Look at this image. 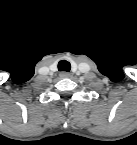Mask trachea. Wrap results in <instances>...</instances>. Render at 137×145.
<instances>
[{"label": "trachea", "instance_id": "1", "mask_svg": "<svg viewBox=\"0 0 137 145\" xmlns=\"http://www.w3.org/2000/svg\"><path fill=\"white\" fill-rule=\"evenodd\" d=\"M71 69V65L67 60H61L58 63V70L59 71H65V72H69Z\"/></svg>", "mask_w": 137, "mask_h": 145}]
</instances>
